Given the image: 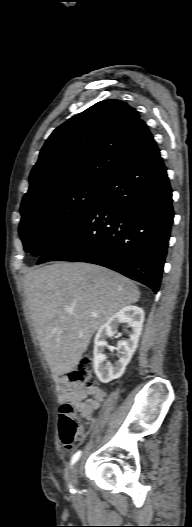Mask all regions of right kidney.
<instances>
[{
    "instance_id": "ca27d5eb",
    "label": "right kidney",
    "mask_w": 192,
    "mask_h": 527,
    "mask_svg": "<svg viewBox=\"0 0 192 527\" xmlns=\"http://www.w3.org/2000/svg\"><path fill=\"white\" fill-rule=\"evenodd\" d=\"M144 321V311L137 306H126L112 316L97 331L94 338V371L102 383H108L121 377L136 351ZM127 322L131 328L128 340L118 342L119 359L112 365L106 362L104 348L108 346L106 339L117 333L118 326Z\"/></svg>"
}]
</instances>
